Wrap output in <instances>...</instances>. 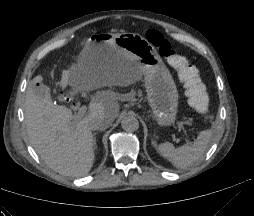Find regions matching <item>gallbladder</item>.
<instances>
[{
	"instance_id": "bac80fb5",
	"label": "gallbladder",
	"mask_w": 254,
	"mask_h": 216,
	"mask_svg": "<svg viewBox=\"0 0 254 216\" xmlns=\"http://www.w3.org/2000/svg\"><path fill=\"white\" fill-rule=\"evenodd\" d=\"M34 90L40 95L45 94L48 97L50 96L49 88H47L45 85L41 84L38 87H34Z\"/></svg>"
}]
</instances>
